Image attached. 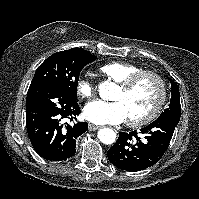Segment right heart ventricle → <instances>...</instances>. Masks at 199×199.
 I'll return each instance as SVG.
<instances>
[{
	"instance_id": "1",
	"label": "right heart ventricle",
	"mask_w": 199,
	"mask_h": 199,
	"mask_svg": "<svg viewBox=\"0 0 199 199\" xmlns=\"http://www.w3.org/2000/svg\"><path fill=\"white\" fill-rule=\"evenodd\" d=\"M100 71L111 80L120 83L130 75L143 70L141 67L123 61H112L100 66Z\"/></svg>"
}]
</instances>
